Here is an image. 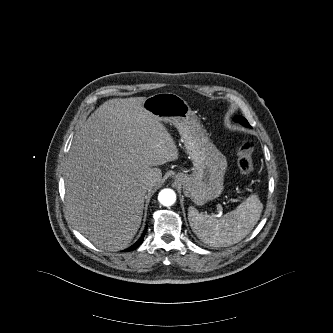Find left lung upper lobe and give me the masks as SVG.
I'll return each instance as SVG.
<instances>
[{
  "label": "left lung upper lobe",
  "mask_w": 333,
  "mask_h": 333,
  "mask_svg": "<svg viewBox=\"0 0 333 333\" xmlns=\"http://www.w3.org/2000/svg\"><path fill=\"white\" fill-rule=\"evenodd\" d=\"M234 121L235 122H239V123H241L242 125H244L246 127H249V124H248L247 120L244 117H242V116H236L234 118Z\"/></svg>",
  "instance_id": "5c2ea615"
}]
</instances>
